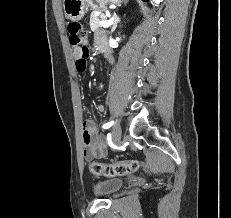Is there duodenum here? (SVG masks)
Segmentation results:
<instances>
[{
  "mask_svg": "<svg viewBox=\"0 0 231 218\" xmlns=\"http://www.w3.org/2000/svg\"><path fill=\"white\" fill-rule=\"evenodd\" d=\"M104 56L106 59L110 60L111 59V54L107 49L102 50Z\"/></svg>",
  "mask_w": 231,
  "mask_h": 218,
  "instance_id": "duodenum-1",
  "label": "duodenum"
}]
</instances>
